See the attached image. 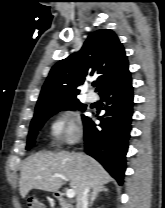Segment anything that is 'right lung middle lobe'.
Returning <instances> with one entry per match:
<instances>
[{
    "instance_id": "obj_1",
    "label": "right lung middle lobe",
    "mask_w": 165,
    "mask_h": 208,
    "mask_svg": "<svg viewBox=\"0 0 165 208\" xmlns=\"http://www.w3.org/2000/svg\"><path fill=\"white\" fill-rule=\"evenodd\" d=\"M85 108L86 106L84 104L80 103L78 100H73L64 103L53 104L36 112L30 124V131L28 134V142L26 149H30L34 145L38 130L41 129L45 121L54 113L61 110H84ZM85 118L86 116H82L83 120Z\"/></svg>"
}]
</instances>
